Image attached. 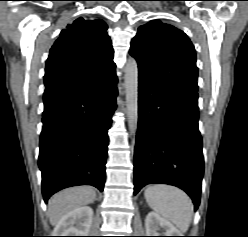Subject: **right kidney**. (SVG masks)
<instances>
[{"label": "right kidney", "mask_w": 248, "mask_h": 237, "mask_svg": "<svg viewBox=\"0 0 248 237\" xmlns=\"http://www.w3.org/2000/svg\"><path fill=\"white\" fill-rule=\"evenodd\" d=\"M93 220L89 206L76 208L64 215L55 228L56 236H88Z\"/></svg>", "instance_id": "1"}]
</instances>
